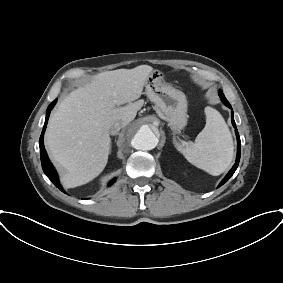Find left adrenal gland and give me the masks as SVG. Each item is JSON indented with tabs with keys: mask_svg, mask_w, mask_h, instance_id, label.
Here are the masks:
<instances>
[{
	"mask_svg": "<svg viewBox=\"0 0 283 283\" xmlns=\"http://www.w3.org/2000/svg\"><path fill=\"white\" fill-rule=\"evenodd\" d=\"M175 142H176V136L173 135V143L175 144Z\"/></svg>",
	"mask_w": 283,
	"mask_h": 283,
	"instance_id": "left-adrenal-gland-1",
	"label": "left adrenal gland"
}]
</instances>
